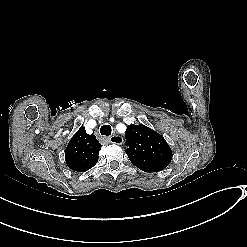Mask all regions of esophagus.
<instances>
[{
    "mask_svg": "<svg viewBox=\"0 0 247 247\" xmlns=\"http://www.w3.org/2000/svg\"><path fill=\"white\" fill-rule=\"evenodd\" d=\"M109 141L112 144L121 145L123 143V138L118 135H113L109 138Z\"/></svg>",
    "mask_w": 247,
    "mask_h": 247,
    "instance_id": "esophagus-1",
    "label": "esophagus"
}]
</instances>
